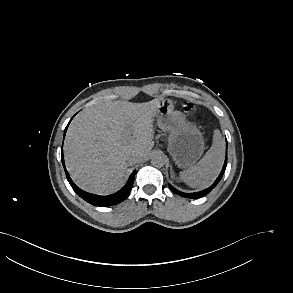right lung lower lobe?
<instances>
[{"label": "right lung lower lobe", "instance_id": "98d812e1", "mask_svg": "<svg viewBox=\"0 0 293 293\" xmlns=\"http://www.w3.org/2000/svg\"><path fill=\"white\" fill-rule=\"evenodd\" d=\"M70 123V122H69ZM69 125V124H68ZM65 128L64 131V136L66 133V130L68 128ZM61 160H62V164L67 176V180L70 183V185L72 186L73 190L85 201H87L88 203L95 205V206H111V205H115L118 204L120 202H122L130 193L132 186H133V182H134V177H135V172L136 170H134L132 172V174L130 175L126 185L119 190L118 192L108 195V196H99V195H94L91 193H87L83 190H81L79 187H77L74 182L71 180L66 168H65V164H64V159H63V145H62V155H61Z\"/></svg>", "mask_w": 293, "mask_h": 293}]
</instances>
